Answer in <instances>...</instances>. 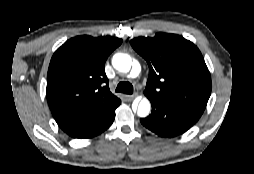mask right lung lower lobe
Wrapping results in <instances>:
<instances>
[{
  "instance_id": "98d812e1",
  "label": "right lung lower lobe",
  "mask_w": 254,
  "mask_h": 174,
  "mask_svg": "<svg viewBox=\"0 0 254 174\" xmlns=\"http://www.w3.org/2000/svg\"><path fill=\"white\" fill-rule=\"evenodd\" d=\"M120 103L121 101L85 106L57 123L73 138H91L102 133L112 124L115 109Z\"/></svg>"
}]
</instances>
